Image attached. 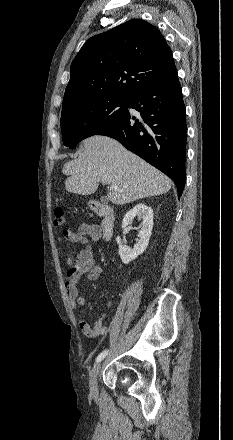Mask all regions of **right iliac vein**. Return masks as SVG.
<instances>
[{"instance_id":"right-iliac-vein-1","label":"right iliac vein","mask_w":233,"mask_h":440,"mask_svg":"<svg viewBox=\"0 0 233 440\" xmlns=\"http://www.w3.org/2000/svg\"><path fill=\"white\" fill-rule=\"evenodd\" d=\"M101 369V363H97L91 370L90 378H89V389L92 396H96L98 394V386H97V377Z\"/></svg>"}]
</instances>
